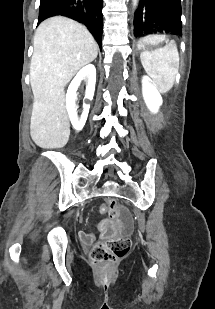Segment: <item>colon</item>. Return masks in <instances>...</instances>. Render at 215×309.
I'll return each mask as SVG.
<instances>
[{
    "label": "colon",
    "instance_id": "colon-1",
    "mask_svg": "<svg viewBox=\"0 0 215 309\" xmlns=\"http://www.w3.org/2000/svg\"><path fill=\"white\" fill-rule=\"evenodd\" d=\"M128 249L129 242L123 238L102 240L93 246L92 255L99 261H107L122 255L124 252H127Z\"/></svg>",
    "mask_w": 215,
    "mask_h": 309
}]
</instances>
